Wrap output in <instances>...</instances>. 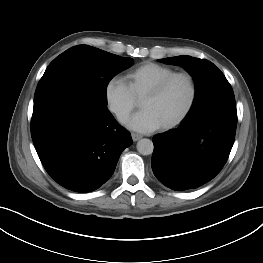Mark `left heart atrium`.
Listing matches in <instances>:
<instances>
[{
    "label": "left heart atrium",
    "instance_id": "39dd6f15",
    "mask_svg": "<svg viewBox=\"0 0 263 263\" xmlns=\"http://www.w3.org/2000/svg\"><path fill=\"white\" fill-rule=\"evenodd\" d=\"M125 124L128 128L141 133H149L162 126L156 115L149 109L137 112Z\"/></svg>",
    "mask_w": 263,
    "mask_h": 263
}]
</instances>
